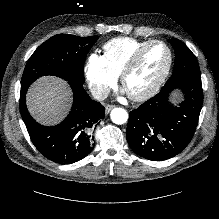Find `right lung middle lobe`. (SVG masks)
Returning a JSON list of instances; mask_svg holds the SVG:
<instances>
[{"mask_svg":"<svg viewBox=\"0 0 219 219\" xmlns=\"http://www.w3.org/2000/svg\"><path fill=\"white\" fill-rule=\"evenodd\" d=\"M98 36L79 37L59 34L40 45L28 60L21 80V91L45 75L68 82L84 83V62Z\"/></svg>","mask_w":219,"mask_h":219,"instance_id":"right-lung-middle-lobe-1","label":"right lung middle lobe"}]
</instances>
